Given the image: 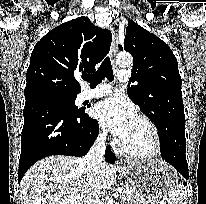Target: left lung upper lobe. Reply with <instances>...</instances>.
Wrapping results in <instances>:
<instances>
[{"instance_id":"obj_1","label":"left lung upper lobe","mask_w":206,"mask_h":204,"mask_svg":"<svg viewBox=\"0 0 206 204\" xmlns=\"http://www.w3.org/2000/svg\"><path fill=\"white\" fill-rule=\"evenodd\" d=\"M126 33L124 49L134 60L129 82L137 83L128 85V96L155 124L160 137L170 123L185 119L177 60L165 42L134 21H129Z\"/></svg>"}]
</instances>
